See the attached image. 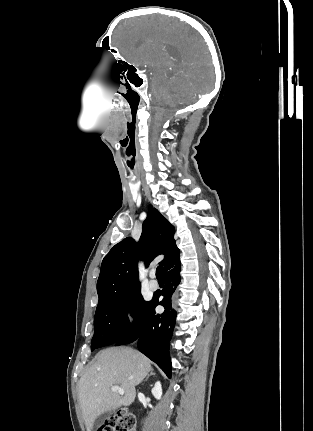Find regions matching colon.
Segmentation results:
<instances>
[{
  "label": "colon",
  "instance_id": "obj_1",
  "mask_svg": "<svg viewBox=\"0 0 313 431\" xmlns=\"http://www.w3.org/2000/svg\"><path fill=\"white\" fill-rule=\"evenodd\" d=\"M98 431H136V417L127 408H121Z\"/></svg>",
  "mask_w": 313,
  "mask_h": 431
}]
</instances>
